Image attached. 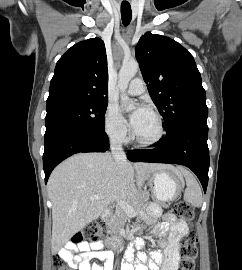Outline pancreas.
<instances>
[{
	"label": "pancreas",
	"instance_id": "1",
	"mask_svg": "<svg viewBox=\"0 0 242 270\" xmlns=\"http://www.w3.org/2000/svg\"><path fill=\"white\" fill-rule=\"evenodd\" d=\"M148 199L149 194L143 193L142 195L131 200L130 204L133 206L134 210L138 212L143 204L148 201ZM126 220L127 214L120 207H117L106 222L108 232L116 236L123 229Z\"/></svg>",
	"mask_w": 242,
	"mask_h": 270
}]
</instances>
